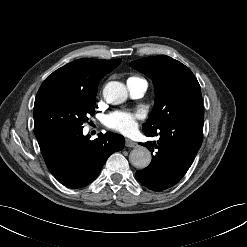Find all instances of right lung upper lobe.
I'll use <instances>...</instances> for the list:
<instances>
[{"mask_svg": "<svg viewBox=\"0 0 247 247\" xmlns=\"http://www.w3.org/2000/svg\"><path fill=\"white\" fill-rule=\"evenodd\" d=\"M121 59L73 61L50 74L42 83L36 98L50 94L96 96L99 81L116 68Z\"/></svg>", "mask_w": 247, "mask_h": 247, "instance_id": "obj_1", "label": "right lung upper lobe"}]
</instances>
